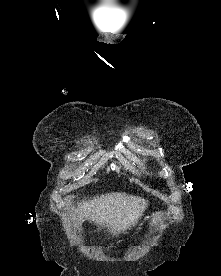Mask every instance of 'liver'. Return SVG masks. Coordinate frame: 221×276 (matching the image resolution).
I'll return each instance as SVG.
<instances>
[{
  "mask_svg": "<svg viewBox=\"0 0 221 276\" xmlns=\"http://www.w3.org/2000/svg\"><path fill=\"white\" fill-rule=\"evenodd\" d=\"M146 208L147 203L141 197L109 193L80 202L78 208H73L72 216L78 224L85 218L118 235L135 226Z\"/></svg>",
  "mask_w": 221,
  "mask_h": 276,
  "instance_id": "6515ba94",
  "label": "liver"
}]
</instances>
